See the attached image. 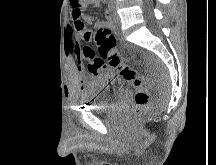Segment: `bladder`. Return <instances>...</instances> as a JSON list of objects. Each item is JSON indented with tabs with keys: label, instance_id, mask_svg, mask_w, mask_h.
I'll return each instance as SVG.
<instances>
[{
	"label": "bladder",
	"instance_id": "31cf9c89",
	"mask_svg": "<svg viewBox=\"0 0 216 165\" xmlns=\"http://www.w3.org/2000/svg\"><path fill=\"white\" fill-rule=\"evenodd\" d=\"M92 81H85V86H91L88 97L92 98L89 106L92 111H109L111 103H116L117 97H124L125 93L119 86V76H114L111 71H102L98 76H92Z\"/></svg>",
	"mask_w": 216,
	"mask_h": 165
}]
</instances>
